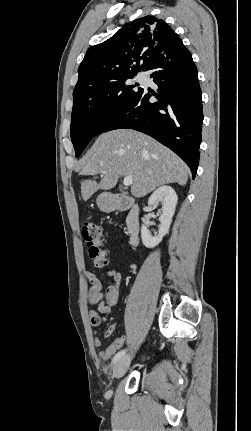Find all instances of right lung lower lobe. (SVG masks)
Returning <instances> with one entry per match:
<instances>
[{"label":"right lung lower lobe","instance_id":"98d812e1","mask_svg":"<svg viewBox=\"0 0 251 431\" xmlns=\"http://www.w3.org/2000/svg\"><path fill=\"white\" fill-rule=\"evenodd\" d=\"M158 93L141 90L109 123L105 132L128 128L143 132L174 151L190 167L193 178L199 163L203 122L198 72L184 45L165 50L146 71ZM154 96L157 101L150 102Z\"/></svg>","mask_w":251,"mask_h":431}]
</instances>
